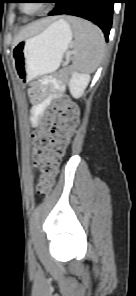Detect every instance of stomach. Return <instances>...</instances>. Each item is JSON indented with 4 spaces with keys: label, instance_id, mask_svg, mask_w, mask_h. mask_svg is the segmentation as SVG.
Listing matches in <instances>:
<instances>
[{
    "label": "stomach",
    "instance_id": "stomach-1",
    "mask_svg": "<svg viewBox=\"0 0 136 296\" xmlns=\"http://www.w3.org/2000/svg\"><path fill=\"white\" fill-rule=\"evenodd\" d=\"M71 40L70 25L60 19L15 43L12 55L19 76L30 81L57 70Z\"/></svg>",
    "mask_w": 136,
    "mask_h": 296
}]
</instances>
